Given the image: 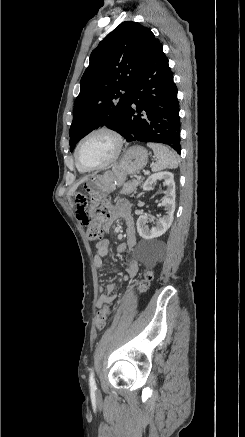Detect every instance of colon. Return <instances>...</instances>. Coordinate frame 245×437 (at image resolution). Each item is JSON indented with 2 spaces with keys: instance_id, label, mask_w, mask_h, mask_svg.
<instances>
[{
  "instance_id": "colon-1",
  "label": "colon",
  "mask_w": 245,
  "mask_h": 437,
  "mask_svg": "<svg viewBox=\"0 0 245 437\" xmlns=\"http://www.w3.org/2000/svg\"><path fill=\"white\" fill-rule=\"evenodd\" d=\"M109 216H110V206L107 201H104L94 209L91 215V222L89 223V227H85L86 235L89 241L95 242L98 239H100L102 234L101 225L102 223L108 220ZM82 225L84 226V224ZM151 279H152V274L150 272H146L139 283L140 291L143 292L148 288ZM110 314H111L110 309L107 306L101 308L97 312V316H96L97 330H102L105 327L108 319L110 318Z\"/></svg>"
}]
</instances>
